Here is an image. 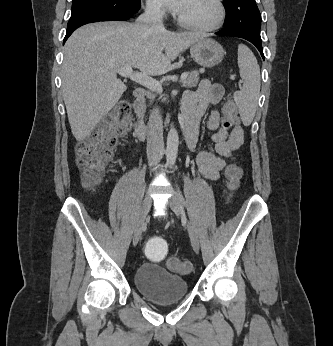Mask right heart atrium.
<instances>
[{"instance_id": "d8ad5b80", "label": "right heart atrium", "mask_w": 333, "mask_h": 346, "mask_svg": "<svg viewBox=\"0 0 333 346\" xmlns=\"http://www.w3.org/2000/svg\"><path fill=\"white\" fill-rule=\"evenodd\" d=\"M146 11L154 17H162L165 13L162 0H145Z\"/></svg>"}]
</instances>
